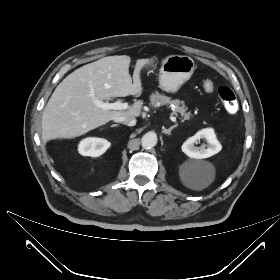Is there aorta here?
<instances>
[{
	"mask_svg": "<svg viewBox=\"0 0 280 280\" xmlns=\"http://www.w3.org/2000/svg\"><path fill=\"white\" fill-rule=\"evenodd\" d=\"M157 144V135L154 132H148L143 135L141 145L144 149H151Z\"/></svg>",
	"mask_w": 280,
	"mask_h": 280,
	"instance_id": "762f6f07",
	"label": "aorta"
}]
</instances>
